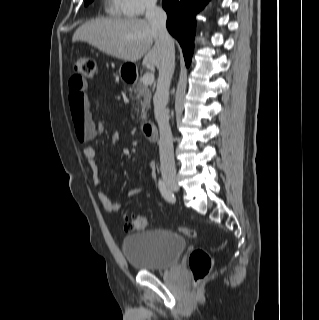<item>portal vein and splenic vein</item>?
<instances>
[{
	"label": "portal vein and splenic vein",
	"instance_id": "portal-vein-and-splenic-vein-1",
	"mask_svg": "<svg viewBox=\"0 0 319 320\" xmlns=\"http://www.w3.org/2000/svg\"><path fill=\"white\" fill-rule=\"evenodd\" d=\"M154 82V74L146 73L142 78V83L145 85H151Z\"/></svg>",
	"mask_w": 319,
	"mask_h": 320
}]
</instances>
